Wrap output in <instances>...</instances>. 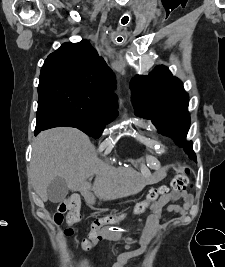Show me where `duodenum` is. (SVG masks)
<instances>
[{
	"label": "duodenum",
	"mask_w": 225,
	"mask_h": 267,
	"mask_svg": "<svg viewBox=\"0 0 225 267\" xmlns=\"http://www.w3.org/2000/svg\"><path fill=\"white\" fill-rule=\"evenodd\" d=\"M88 196L91 197V194L89 193Z\"/></svg>",
	"instance_id": "obj_1"
}]
</instances>
